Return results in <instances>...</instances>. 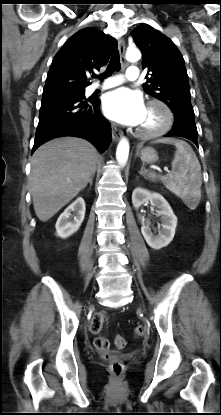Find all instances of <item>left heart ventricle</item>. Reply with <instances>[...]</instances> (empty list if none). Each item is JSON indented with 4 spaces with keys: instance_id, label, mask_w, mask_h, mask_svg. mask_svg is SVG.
Segmentation results:
<instances>
[{
    "instance_id": "obj_1",
    "label": "left heart ventricle",
    "mask_w": 221,
    "mask_h": 415,
    "mask_svg": "<svg viewBox=\"0 0 221 415\" xmlns=\"http://www.w3.org/2000/svg\"><path fill=\"white\" fill-rule=\"evenodd\" d=\"M164 121V114L158 106H146L143 118L138 128L151 131L159 128Z\"/></svg>"
}]
</instances>
